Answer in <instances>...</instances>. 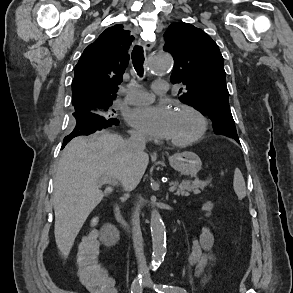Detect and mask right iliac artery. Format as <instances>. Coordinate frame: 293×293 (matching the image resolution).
<instances>
[{"instance_id":"82829eb1","label":"right iliac artery","mask_w":293,"mask_h":293,"mask_svg":"<svg viewBox=\"0 0 293 293\" xmlns=\"http://www.w3.org/2000/svg\"><path fill=\"white\" fill-rule=\"evenodd\" d=\"M142 290V275L139 274L132 282L131 293H142Z\"/></svg>"}]
</instances>
